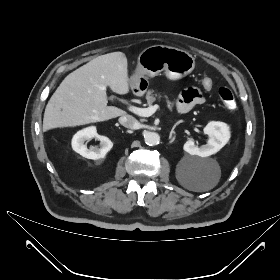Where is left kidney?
Here are the masks:
<instances>
[{
  "mask_svg": "<svg viewBox=\"0 0 280 280\" xmlns=\"http://www.w3.org/2000/svg\"><path fill=\"white\" fill-rule=\"evenodd\" d=\"M204 133L209 136L208 143L201 147L194 144L193 140L185 142L183 149L190 155L208 157L217 153L230 138V131L227 124L223 122L211 121L204 127Z\"/></svg>",
  "mask_w": 280,
  "mask_h": 280,
  "instance_id": "1",
  "label": "left kidney"
}]
</instances>
